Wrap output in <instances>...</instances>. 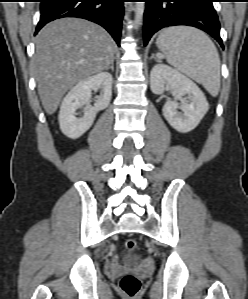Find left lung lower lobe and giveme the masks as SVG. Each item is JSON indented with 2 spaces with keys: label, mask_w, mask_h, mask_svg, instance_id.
<instances>
[{
  "label": "left lung lower lobe",
  "mask_w": 248,
  "mask_h": 299,
  "mask_svg": "<svg viewBox=\"0 0 248 299\" xmlns=\"http://www.w3.org/2000/svg\"><path fill=\"white\" fill-rule=\"evenodd\" d=\"M144 12V45L158 30L176 25H187L204 30L224 48L220 24L212 5L214 0H142Z\"/></svg>",
  "instance_id": "left-lung-lower-lobe-1"
}]
</instances>
